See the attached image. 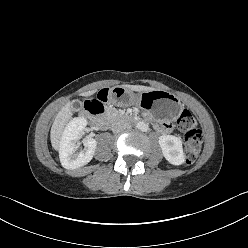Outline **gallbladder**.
I'll use <instances>...</instances> for the list:
<instances>
[{
	"mask_svg": "<svg viewBox=\"0 0 248 248\" xmlns=\"http://www.w3.org/2000/svg\"><path fill=\"white\" fill-rule=\"evenodd\" d=\"M72 106H73L75 109L80 110V109L82 108V103H81V101H79V100H74V101L72 102Z\"/></svg>",
	"mask_w": 248,
	"mask_h": 248,
	"instance_id": "bac80fb5",
	"label": "gallbladder"
}]
</instances>
